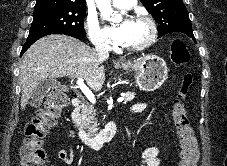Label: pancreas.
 Here are the masks:
<instances>
[{"label": "pancreas", "mask_w": 227, "mask_h": 166, "mask_svg": "<svg viewBox=\"0 0 227 166\" xmlns=\"http://www.w3.org/2000/svg\"><path fill=\"white\" fill-rule=\"evenodd\" d=\"M135 94L127 92L124 96V103L130 102L134 99ZM96 110L93 105L85 103L81 106V114L77 120V124L85 129L89 135H94L97 132V121L95 119Z\"/></svg>", "instance_id": "1"}]
</instances>
